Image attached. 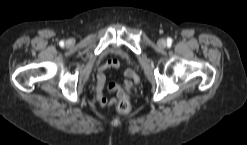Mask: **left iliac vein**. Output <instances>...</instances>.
Returning <instances> with one entry per match:
<instances>
[{
	"mask_svg": "<svg viewBox=\"0 0 247 145\" xmlns=\"http://www.w3.org/2000/svg\"><path fill=\"white\" fill-rule=\"evenodd\" d=\"M166 45H167V42H166L165 39H160V40L158 41V46H159L160 48H165Z\"/></svg>",
	"mask_w": 247,
	"mask_h": 145,
	"instance_id": "1",
	"label": "left iliac vein"
}]
</instances>
